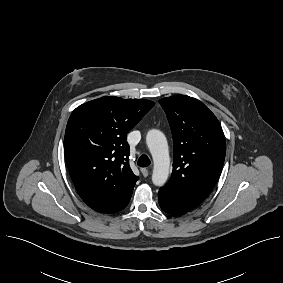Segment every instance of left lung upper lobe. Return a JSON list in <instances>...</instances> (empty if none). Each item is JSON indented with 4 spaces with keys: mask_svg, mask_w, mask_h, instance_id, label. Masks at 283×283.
Masks as SVG:
<instances>
[{
    "mask_svg": "<svg viewBox=\"0 0 283 283\" xmlns=\"http://www.w3.org/2000/svg\"><path fill=\"white\" fill-rule=\"evenodd\" d=\"M159 103L166 112L174 143L173 171L163 188L189 211L210 194L221 174L224 133L215 115L195 98L173 96Z\"/></svg>",
    "mask_w": 283,
    "mask_h": 283,
    "instance_id": "5c2ea615",
    "label": "left lung upper lobe"
}]
</instances>
